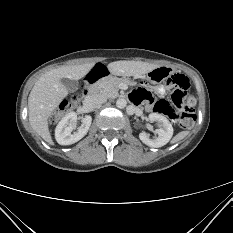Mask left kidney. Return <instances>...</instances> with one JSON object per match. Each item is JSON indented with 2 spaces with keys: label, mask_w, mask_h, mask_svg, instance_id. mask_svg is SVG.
Here are the masks:
<instances>
[{
  "label": "left kidney",
  "mask_w": 233,
  "mask_h": 233,
  "mask_svg": "<svg viewBox=\"0 0 233 233\" xmlns=\"http://www.w3.org/2000/svg\"><path fill=\"white\" fill-rule=\"evenodd\" d=\"M149 120L158 124L159 129H156L158 136L151 139L145 132H141L139 134L140 140L150 147L158 148L164 146L173 136V127L171 123L166 117L158 113L149 114Z\"/></svg>",
  "instance_id": "obj_1"
}]
</instances>
